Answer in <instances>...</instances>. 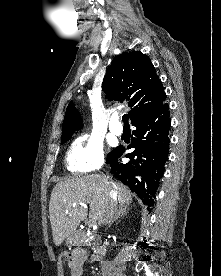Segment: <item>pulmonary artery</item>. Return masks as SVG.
Wrapping results in <instances>:
<instances>
[{
  "instance_id": "e3ab8cb5",
  "label": "pulmonary artery",
  "mask_w": 221,
  "mask_h": 276,
  "mask_svg": "<svg viewBox=\"0 0 221 276\" xmlns=\"http://www.w3.org/2000/svg\"><path fill=\"white\" fill-rule=\"evenodd\" d=\"M110 131L115 135H121L123 132L122 125L118 121V116L115 115L112 117L110 124H109Z\"/></svg>"
}]
</instances>
